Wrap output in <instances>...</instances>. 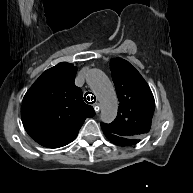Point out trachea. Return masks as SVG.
Segmentation results:
<instances>
[{"label": "trachea", "instance_id": "1", "mask_svg": "<svg viewBox=\"0 0 193 193\" xmlns=\"http://www.w3.org/2000/svg\"><path fill=\"white\" fill-rule=\"evenodd\" d=\"M88 94H92L91 92H87L86 94H85V102L86 103H88V104H93V103H95V101H96V98L95 97H93V96H89ZM88 95V96H87ZM93 95V94H92ZM87 96V97H86ZM94 100V101H93ZM90 101V102H89Z\"/></svg>", "mask_w": 193, "mask_h": 193}]
</instances>
